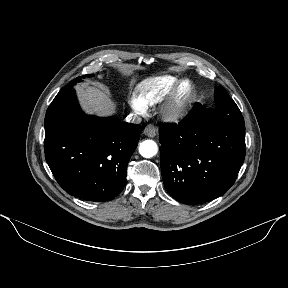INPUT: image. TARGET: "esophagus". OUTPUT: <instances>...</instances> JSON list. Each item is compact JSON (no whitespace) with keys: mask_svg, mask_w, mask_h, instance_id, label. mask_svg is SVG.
Returning <instances> with one entry per match:
<instances>
[{"mask_svg":"<svg viewBox=\"0 0 288 288\" xmlns=\"http://www.w3.org/2000/svg\"><path fill=\"white\" fill-rule=\"evenodd\" d=\"M144 134L148 137H154L156 135V127L153 124H149L144 128Z\"/></svg>","mask_w":288,"mask_h":288,"instance_id":"34e87169","label":"esophagus"}]
</instances>
